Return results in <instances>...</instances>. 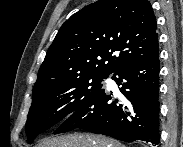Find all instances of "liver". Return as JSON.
Instances as JSON below:
<instances>
[{
    "mask_svg": "<svg viewBox=\"0 0 183 147\" xmlns=\"http://www.w3.org/2000/svg\"><path fill=\"white\" fill-rule=\"evenodd\" d=\"M36 147H124L119 142L103 136L70 134L57 138L44 139Z\"/></svg>",
    "mask_w": 183,
    "mask_h": 147,
    "instance_id": "1",
    "label": "liver"
}]
</instances>
